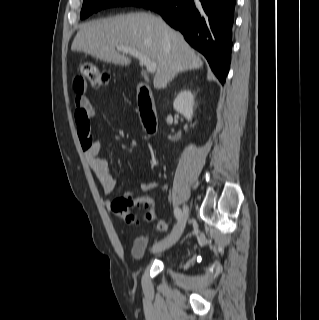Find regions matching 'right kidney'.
Listing matches in <instances>:
<instances>
[{"label":"right kidney","instance_id":"1","mask_svg":"<svg viewBox=\"0 0 319 320\" xmlns=\"http://www.w3.org/2000/svg\"><path fill=\"white\" fill-rule=\"evenodd\" d=\"M194 95L189 90L181 91L174 100L173 107L175 111L185 116L191 121L193 116Z\"/></svg>","mask_w":319,"mask_h":320}]
</instances>
